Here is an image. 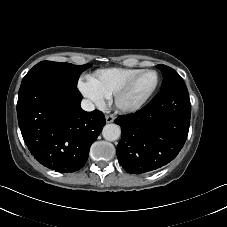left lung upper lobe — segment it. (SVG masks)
<instances>
[{"label":"left lung upper lobe","mask_w":227,"mask_h":227,"mask_svg":"<svg viewBox=\"0 0 227 227\" xmlns=\"http://www.w3.org/2000/svg\"><path fill=\"white\" fill-rule=\"evenodd\" d=\"M157 67L162 71L163 82L161 91L169 88L186 87L181 76L171 67L159 64Z\"/></svg>","instance_id":"5c2ea615"}]
</instances>
